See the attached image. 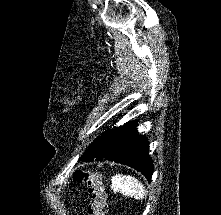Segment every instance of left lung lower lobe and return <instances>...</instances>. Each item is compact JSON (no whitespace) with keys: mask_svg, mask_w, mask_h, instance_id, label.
I'll return each mask as SVG.
<instances>
[{"mask_svg":"<svg viewBox=\"0 0 221 215\" xmlns=\"http://www.w3.org/2000/svg\"><path fill=\"white\" fill-rule=\"evenodd\" d=\"M148 150L147 139L137 135L135 125L129 123L113 130L104 154L96 160L107 159L128 165L151 181L153 164Z\"/></svg>","mask_w":221,"mask_h":215,"instance_id":"obj_1","label":"left lung lower lobe"}]
</instances>
